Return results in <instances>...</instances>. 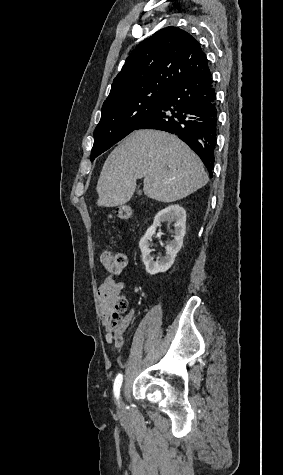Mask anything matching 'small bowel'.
<instances>
[{
	"mask_svg": "<svg viewBox=\"0 0 283 475\" xmlns=\"http://www.w3.org/2000/svg\"><path fill=\"white\" fill-rule=\"evenodd\" d=\"M122 290L123 284L117 282L113 277L105 279L97 290L101 323L105 330V341L117 348L123 346L124 331L134 316L133 309H130L122 319H119L120 313L118 311H113L114 303Z\"/></svg>",
	"mask_w": 283,
	"mask_h": 475,
	"instance_id": "1",
	"label": "small bowel"
}]
</instances>
